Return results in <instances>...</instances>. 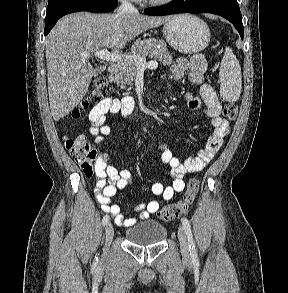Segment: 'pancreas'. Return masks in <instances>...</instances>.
Returning a JSON list of instances; mask_svg holds the SVG:
<instances>
[{
  "mask_svg": "<svg viewBox=\"0 0 288 293\" xmlns=\"http://www.w3.org/2000/svg\"><path fill=\"white\" fill-rule=\"evenodd\" d=\"M154 57L164 65H170L173 62L166 44L163 40L148 39L138 40L131 47V52L118 63V72L115 74L114 82L124 89L126 85H132L137 75L138 68L133 60V56Z\"/></svg>",
  "mask_w": 288,
  "mask_h": 293,
  "instance_id": "obj_1",
  "label": "pancreas"
}]
</instances>
